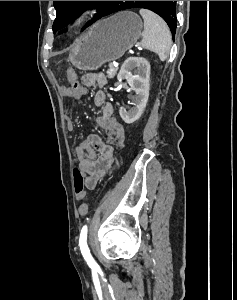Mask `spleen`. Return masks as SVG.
<instances>
[{"label":"spleen","instance_id":"3e777b00","mask_svg":"<svg viewBox=\"0 0 237 300\" xmlns=\"http://www.w3.org/2000/svg\"><path fill=\"white\" fill-rule=\"evenodd\" d=\"M139 13L144 21L141 47L157 53L160 61H166L172 43L167 23L148 9H140Z\"/></svg>","mask_w":237,"mask_h":300}]
</instances>
